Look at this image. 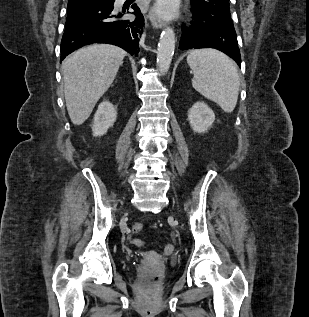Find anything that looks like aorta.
<instances>
[{
	"label": "aorta",
	"instance_id": "aorta-1",
	"mask_svg": "<svg viewBox=\"0 0 309 317\" xmlns=\"http://www.w3.org/2000/svg\"><path fill=\"white\" fill-rule=\"evenodd\" d=\"M175 50V33L172 28L166 27L160 37L157 50V65L161 74L165 75L172 61Z\"/></svg>",
	"mask_w": 309,
	"mask_h": 317
}]
</instances>
